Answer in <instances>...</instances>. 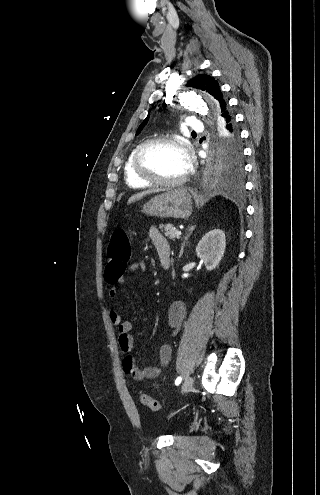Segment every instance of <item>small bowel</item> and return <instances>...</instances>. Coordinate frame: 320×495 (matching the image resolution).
Returning <instances> with one entry per match:
<instances>
[{"mask_svg":"<svg viewBox=\"0 0 320 495\" xmlns=\"http://www.w3.org/2000/svg\"><path fill=\"white\" fill-rule=\"evenodd\" d=\"M149 236L153 242L158 255L162 251L169 247V244L165 237L159 232V230L152 226L149 230ZM138 269L145 270V264L143 262H138L132 264L129 270L136 271ZM107 280V279H106ZM110 284L114 285L111 289L109 298L111 301H115L117 297V287L121 286L124 282L123 278L120 277L117 282H112L107 280ZM109 318L112 324L117 327L118 331V343L121 351L125 354L123 358V369L127 375L136 381H142L146 379L157 378L162 369L167 366L171 360L172 348L169 344H162L159 348L158 366H148L145 368H139L135 362L134 357L130 354L133 349V338L131 335L132 323L130 321L122 320L118 310L112 306L109 309ZM186 318V307L181 301H175L170 305L167 317V330L170 335H175L181 329L184 320Z\"/></svg>","mask_w":320,"mask_h":495,"instance_id":"small-bowel-1","label":"small bowel"}]
</instances>
